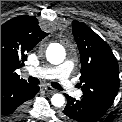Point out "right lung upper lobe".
I'll list each match as a JSON object with an SVG mask.
<instances>
[{
    "label": "right lung upper lobe",
    "instance_id": "cb5924a9",
    "mask_svg": "<svg viewBox=\"0 0 122 122\" xmlns=\"http://www.w3.org/2000/svg\"><path fill=\"white\" fill-rule=\"evenodd\" d=\"M47 35L31 16L15 17L1 26V85L28 84L15 70L24 65L27 53Z\"/></svg>",
    "mask_w": 122,
    "mask_h": 122
}]
</instances>
